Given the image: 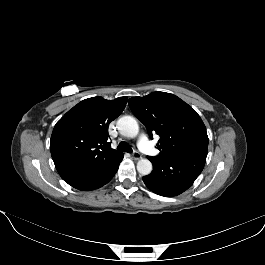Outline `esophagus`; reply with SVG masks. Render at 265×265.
Here are the masks:
<instances>
[{"label": "esophagus", "mask_w": 265, "mask_h": 265, "mask_svg": "<svg viewBox=\"0 0 265 265\" xmlns=\"http://www.w3.org/2000/svg\"><path fill=\"white\" fill-rule=\"evenodd\" d=\"M131 155H132V158L135 160H138L141 158V155L138 152H133Z\"/></svg>", "instance_id": "esophagus-1"}]
</instances>
